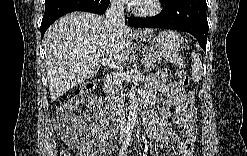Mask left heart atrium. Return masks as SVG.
<instances>
[{"label": "left heart atrium", "instance_id": "obj_1", "mask_svg": "<svg viewBox=\"0 0 247 156\" xmlns=\"http://www.w3.org/2000/svg\"><path fill=\"white\" fill-rule=\"evenodd\" d=\"M145 1H143V0H129L128 1V3L130 4V5H141V4H143Z\"/></svg>", "mask_w": 247, "mask_h": 156}]
</instances>
